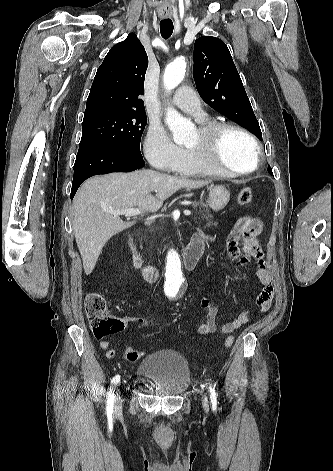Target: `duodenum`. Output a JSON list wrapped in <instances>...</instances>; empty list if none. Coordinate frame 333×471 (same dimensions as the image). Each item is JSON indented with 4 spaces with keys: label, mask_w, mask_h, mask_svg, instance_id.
Wrapping results in <instances>:
<instances>
[{
    "label": "duodenum",
    "mask_w": 333,
    "mask_h": 471,
    "mask_svg": "<svg viewBox=\"0 0 333 471\" xmlns=\"http://www.w3.org/2000/svg\"><path fill=\"white\" fill-rule=\"evenodd\" d=\"M128 247L130 250L133 266L141 271L146 281L155 282L158 278V270L153 265L145 264L143 262L142 256L137 250L132 235L128 237ZM204 247L205 245L202 239H191L182 258V264L186 270H193L195 268L204 252Z\"/></svg>",
    "instance_id": "410a0bca"
}]
</instances>
